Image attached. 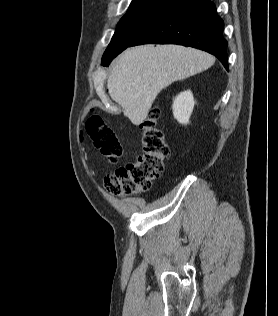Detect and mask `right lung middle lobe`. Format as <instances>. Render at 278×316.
<instances>
[{
    "label": "right lung middle lobe",
    "instance_id": "right-lung-middle-lobe-1",
    "mask_svg": "<svg viewBox=\"0 0 278 316\" xmlns=\"http://www.w3.org/2000/svg\"><path fill=\"white\" fill-rule=\"evenodd\" d=\"M170 0H133L117 25L102 63L126 49L157 18Z\"/></svg>",
    "mask_w": 278,
    "mask_h": 316
}]
</instances>
